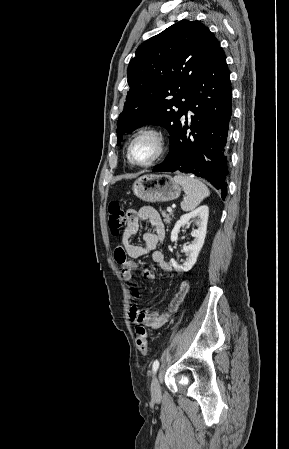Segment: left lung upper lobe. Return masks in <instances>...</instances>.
Masks as SVG:
<instances>
[{"label":"left lung upper lobe","mask_w":289,"mask_h":449,"mask_svg":"<svg viewBox=\"0 0 289 449\" xmlns=\"http://www.w3.org/2000/svg\"><path fill=\"white\" fill-rule=\"evenodd\" d=\"M219 47L204 24L188 20L142 43L127 70L130 90L117 122L118 144L124 132L148 124L166 128L171 140L183 120L193 84Z\"/></svg>","instance_id":"obj_1"}]
</instances>
